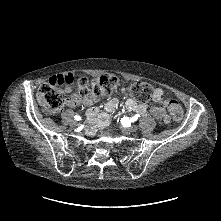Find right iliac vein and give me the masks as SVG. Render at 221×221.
Instances as JSON below:
<instances>
[{
	"instance_id": "right-iliac-vein-1",
	"label": "right iliac vein",
	"mask_w": 221,
	"mask_h": 221,
	"mask_svg": "<svg viewBox=\"0 0 221 221\" xmlns=\"http://www.w3.org/2000/svg\"><path fill=\"white\" fill-rule=\"evenodd\" d=\"M78 125H79V123H78V122H73V123L71 124V126H72L73 128L78 127Z\"/></svg>"
}]
</instances>
